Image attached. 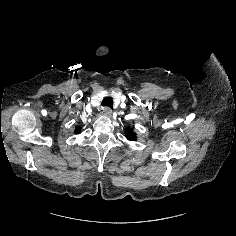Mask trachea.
I'll list each match as a JSON object with an SVG mask.
<instances>
[{"mask_svg": "<svg viewBox=\"0 0 236 236\" xmlns=\"http://www.w3.org/2000/svg\"><path fill=\"white\" fill-rule=\"evenodd\" d=\"M101 104L103 106L113 108V99L111 97H105Z\"/></svg>", "mask_w": 236, "mask_h": 236, "instance_id": "3493384b", "label": "trachea"}]
</instances>
